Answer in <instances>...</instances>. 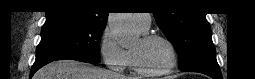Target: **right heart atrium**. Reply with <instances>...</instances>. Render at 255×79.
I'll return each instance as SVG.
<instances>
[{
	"instance_id": "d8ad5b80",
	"label": "right heart atrium",
	"mask_w": 255,
	"mask_h": 79,
	"mask_svg": "<svg viewBox=\"0 0 255 79\" xmlns=\"http://www.w3.org/2000/svg\"><path fill=\"white\" fill-rule=\"evenodd\" d=\"M100 53L104 62L115 71L122 72L128 66V52L119 46L107 28L100 39Z\"/></svg>"
}]
</instances>
